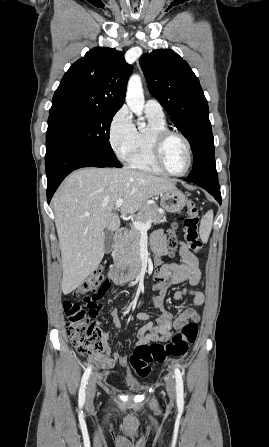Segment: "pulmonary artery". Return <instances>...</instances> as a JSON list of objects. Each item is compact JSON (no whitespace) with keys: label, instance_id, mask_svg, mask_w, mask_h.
<instances>
[{"label":"pulmonary artery","instance_id":"1","mask_svg":"<svg viewBox=\"0 0 269 447\" xmlns=\"http://www.w3.org/2000/svg\"><path fill=\"white\" fill-rule=\"evenodd\" d=\"M144 111L158 118H164L163 107L155 98H150L146 101L144 105Z\"/></svg>","mask_w":269,"mask_h":447}]
</instances>
